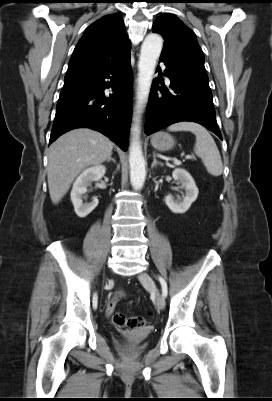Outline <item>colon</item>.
Here are the masks:
<instances>
[{
	"label": "colon",
	"mask_w": 272,
	"mask_h": 401,
	"mask_svg": "<svg viewBox=\"0 0 272 401\" xmlns=\"http://www.w3.org/2000/svg\"><path fill=\"white\" fill-rule=\"evenodd\" d=\"M112 320L117 327L128 329L144 327L149 323L146 317H126L121 313H114Z\"/></svg>",
	"instance_id": "5ec220e1"
}]
</instances>
